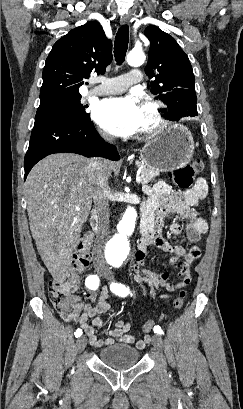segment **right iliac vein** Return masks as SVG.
Listing matches in <instances>:
<instances>
[{"instance_id":"obj_1","label":"right iliac vein","mask_w":243,"mask_h":409,"mask_svg":"<svg viewBox=\"0 0 243 409\" xmlns=\"http://www.w3.org/2000/svg\"><path fill=\"white\" fill-rule=\"evenodd\" d=\"M86 337L85 336H81L77 339L76 341V348L79 352L83 351L84 348L86 347Z\"/></svg>"}]
</instances>
